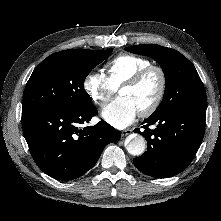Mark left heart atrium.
<instances>
[{"mask_svg": "<svg viewBox=\"0 0 221 221\" xmlns=\"http://www.w3.org/2000/svg\"><path fill=\"white\" fill-rule=\"evenodd\" d=\"M138 112L136 106L129 98L120 96L108 104L102 110L101 115L107 123L122 129L135 120Z\"/></svg>", "mask_w": 221, "mask_h": 221, "instance_id": "obj_1", "label": "left heart atrium"}]
</instances>
